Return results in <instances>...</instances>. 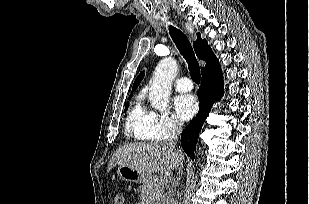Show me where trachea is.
<instances>
[{
  "label": "trachea",
  "instance_id": "1",
  "mask_svg": "<svg viewBox=\"0 0 309 204\" xmlns=\"http://www.w3.org/2000/svg\"><path fill=\"white\" fill-rule=\"evenodd\" d=\"M170 35L176 47L188 63L190 76L196 83H200V66L194 55L192 46L188 38L178 29L170 26Z\"/></svg>",
  "mask_w": 309,
  "mask_h": 204
}]
</instances>
